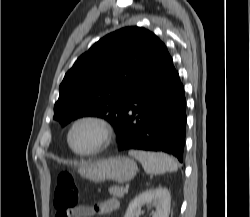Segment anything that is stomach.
<instances>
[{
	"label": "stomach",
	"mask_w": 250,
	"mask_h": 217,
	"mask_svg": "<svg viewBox=\"0 0 250 217\" xmlns=\"http://www.w3.org/2000/svg\"><path fill=\"white\" fill-rule=\"evenodd\" d=\"M138 168L134 160L127 157H113L86 162L79 168V173L92 182L112 180L125 183L132 180Z\"/></svg>",
	"instance_id": "0dacf381"
}]
</instances>
